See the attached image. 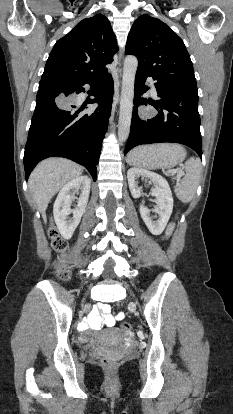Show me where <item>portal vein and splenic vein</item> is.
<instances>
[{
	"label": "portal vein and splenic vein",
	"mask_w": 233,
	"mask_h": 414,
	"mask_svg": "<svg viewBox=\"0 0 233 414\" xmlns=\"http://www.w3.org/2000/svg\"><path fill=\"white\" fill-rule=\"evenodd\" d=\"M177 172L179 173V175H181L183 173L182 170H179V171L178 170H169L167 173H172L173 174V173H177Z\"/></svg>",
	"instance_id": "portal-vein-and-splenic-vein-1"
}]
</instances>
